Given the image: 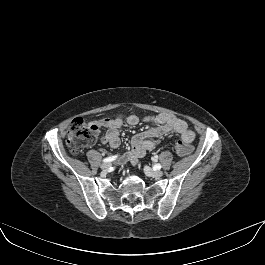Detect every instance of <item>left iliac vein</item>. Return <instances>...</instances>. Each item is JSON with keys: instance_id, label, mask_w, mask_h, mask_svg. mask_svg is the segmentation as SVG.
Listing matches in <instances>:
<instances>
[{"instance_id": "left-iliac-vein-1", "label": "left iliac vein", "mask_w": 265, "mask_h": 265, "mask_svg": "<svg viewBox=\"0 0 265 265\" xmlns=\"http://www.w3.org/2000/svg\"><path fill=\"white\" fill-rule=\"evenodd\" d=\"M144 172H145V174L147 176L152 177V178H160L163 175L162 171L153 170V169H151L150 167H147V166L144 167Z\"/></svg>"}]
</instances>
